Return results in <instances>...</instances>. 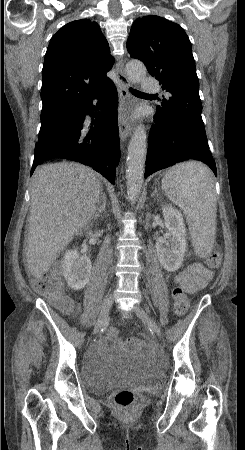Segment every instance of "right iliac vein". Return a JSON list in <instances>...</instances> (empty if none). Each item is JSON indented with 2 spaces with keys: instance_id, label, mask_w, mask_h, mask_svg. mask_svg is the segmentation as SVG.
<instances>
[{
  "instance_id": "63e3f726",
  "label": "right iliac vein",
  "mask_w": 245,
  "mask_h": 450,
  "mask_svg": "<svg viewBox=\"0 0 245 450\" xmlns=\"http://www.w3.org/2000/svg\"><path fill=\"white\" fill-rule=\"evenodd\" d=\"M113 301H114V298H113L112 295H109L105 299V301H104V303H103V305L101 307L100 314L98 316L96 325L94 327L93 334H97L100 331V329L103 327V325H104V323H105V321H106V319H107V317L109 315V312H110V310L112 308Z\"/></svg>"
}]
</instances>
